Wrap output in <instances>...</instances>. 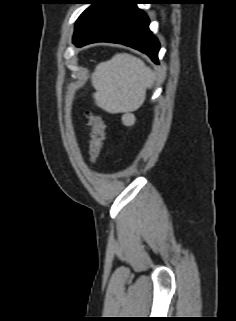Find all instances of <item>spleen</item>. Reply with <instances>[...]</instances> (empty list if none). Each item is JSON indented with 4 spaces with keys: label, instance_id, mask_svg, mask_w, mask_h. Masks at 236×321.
<instances>
[{
    "label": "spleen",
    "instance_id": "spleen-1",
    "mask_svg": "<svg viewBox=\"0 0 236 321\" xmlns=\"http://www.w3.org/2000/svg\"><path fill=\"white\" fill-rule=\"evenodd\" d=\"M91 81L96 104L109 113H119L135 111L142 105L154 76L143 61L124 53L99 63Z\"/></svg>",
    "mask_w": 236,
    "mask_h": 321
}]
</instances>
